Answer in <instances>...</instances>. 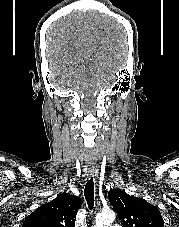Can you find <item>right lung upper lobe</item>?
Returning a JSON list of instances; mask_svg holds the SVG:
<instances>
[{
  "label": "right lung upper lobe",
  "instance_id": "obj_1",
  "mask_svg": "<svg viewBox=\"0 0 179 227\" xmlns=\"http://www.w3.org/2000/svg\"><path fill=\"white\" fill-rule=\"evenodd\" d=\"M81 205V198L62 193L28 215L22 227H74Z\"/></svg>",
  "mask_w": 179,
  "mask_h": 227
}]
</instances>
